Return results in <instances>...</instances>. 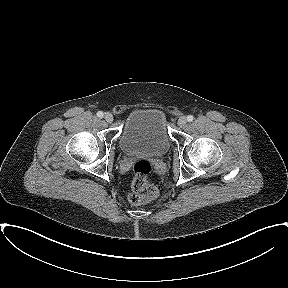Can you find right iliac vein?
<instances>
[{
    "label": "right iliac vein",
    "mask_w": 288,
    "mask_h": 288,
    "mask_svg": "<svg viewBox=\"0 0 288 288\" xmlns=\"http://www.w3.org/2000/svg\"><path fill=\"white\" fill-rule=\"evenodd\" d=\"M104 118L108 123L113 121V115L111 113H105Z\"/></svg>",
    "instance_id": "obj_1"
}]
</instances>
